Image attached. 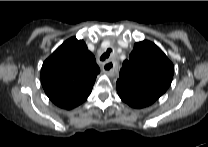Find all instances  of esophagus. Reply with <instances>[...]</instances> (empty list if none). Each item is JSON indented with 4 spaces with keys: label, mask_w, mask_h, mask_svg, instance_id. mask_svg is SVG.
I'll list each match as a JSON object with an SVG mask.
<instances>
[{
    "label": "esophagus",
    "mask_w": 208,
    "mask_h": 147,
    "mask_svg": "<svg viewBox=\"0 0 208 147\" xmlns=\"http://www.w3.org/2000/svg\"><path fill=\"white\" fill-rule=\"evenodd\" d=\"M102 69L104 72H106L109 76H114L117 72L115 64L112 61H106L103 66Z\"/></svg>",
    "instance_id": "esophagus-1"
}]
</instances>
